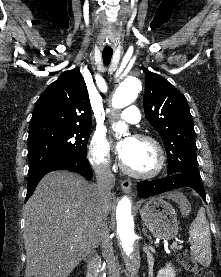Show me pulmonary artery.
I'll return each instance as SVG.
<instances>
[{"label": "pulmonary artery", "mask_w": 221, "mask_h": 277, "mask_svg": "<svg viewBox=\"0 0 221 277\" xmlns=\"http://www.w3.org/2000/svg\"><path fill=\"white\" fill-rule=\"evenodd\" d=\"M119 117L128 122V123H131V124H136L140 121L141 119V114H140V111L139 109L134 106V105H131L129 107H127L125 110H123L120 114H119Z\"/></svg>", "instance_id": "pulmonary-artery-1"}]
</instances>
